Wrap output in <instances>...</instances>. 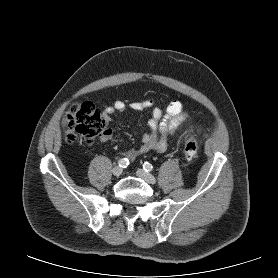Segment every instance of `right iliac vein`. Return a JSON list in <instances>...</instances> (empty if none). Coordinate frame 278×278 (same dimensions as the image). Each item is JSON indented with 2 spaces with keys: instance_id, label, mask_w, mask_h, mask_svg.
I'll use <instances>...</instances> for the list:
<instances>
[{
  "instance_id": "obj_1",
  "label": "right iliac vein",
  "mask_w": 278,
  "mask_h": 278,
  "mask_svg": "<svg viewBox=\"0 0 278 278\" xmlns=\"http://www.w3.org/2000/svg\"><path fill=\"white\" fill-rule=\"evenodd\" d=\"M122 168L120 166H115L113 169H112V173L114 176H120L122 174Z\"/></svg>"
}]
</instances>
